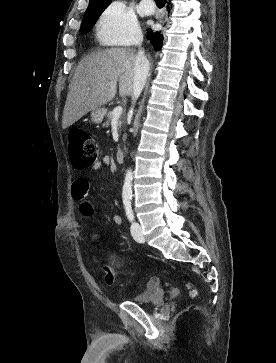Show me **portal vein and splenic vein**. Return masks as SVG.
I'll list each match as a JSON object with an SVG mask.
<instances>
[{
    "instance_id": "obj_1",
    "label": "portal vein and splenic vein",
    "mask_w": 276,
    "mask_h": 363,
    "mask_svg": "<svg viewBox=\"0 0 276 363\" xmlns=\"http://www.w3.org/2000/svg\"><path fill=\"white\" fill-rule=\"evenodd\" d=\"M122 111H123L122 106L115 107L112 111V114H113L112 120H118L122 115Z\"/></svg>"
}]
</instances>
